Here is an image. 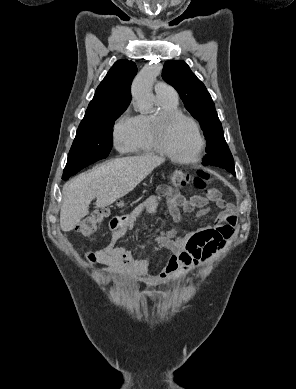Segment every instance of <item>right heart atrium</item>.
<instances>
[{
  "mask_svg": "<svg viewBox=\"0 0 296 389\" xmlns=\"http://www.w3.org/2000/svg\"><path fill=\"white\" fill-rule=\"evenodd\" d=\"M133 122L134 117L129 112H124L113 125V144L119 151H127L130 147L133 134Z\"/></svg>",
  "mask_w": 296,
  "mask_h": 389,
  "instance_id": "1",
  "label": "right heart atrium"
}]
</instances>
